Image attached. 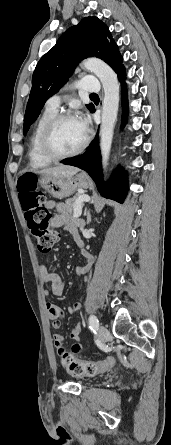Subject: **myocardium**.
Here are the masks:
<instances>
[{"label": "myocardium", "mask_w": 171, "mask_h": 445, "mask_svg": "<svg viewBox=\"0 0 171 445\" xmlns=\"http://www.w3.org/2000/svg\"><path fill=\"white\" fill-rule=\"evenodd\" d=\"M66 120H78V118L70 113L56 114L44 126L39 139V151L41 155L49 161H60L81 154L88 146L90 135L86 132V136L82 144L75 150L67 153H56L50 147V136L58 124Z\"/></svg>", "instance_id": "f54148a6"}]
</instances>
